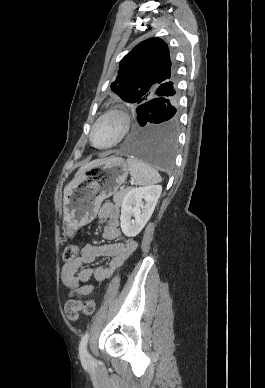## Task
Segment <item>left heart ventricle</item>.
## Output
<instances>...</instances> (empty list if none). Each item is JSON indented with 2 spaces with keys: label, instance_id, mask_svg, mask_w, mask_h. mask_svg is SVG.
I'll return each mask as SVG.
<instances>
[{
  "label": "left heart ventricle",
  "instance_id": "b2bd125f",
  "mask_svg": "<svg viewBox=\"0 0 265 388\" xmlns=\"http://www.w3.org/2000/svg\"><path fill=\"white\" fill-rule=\"evenodd\" d=\"M118 119L110 116L103 120L95 129L93 134V141L97 145H104L111 143L117 133Z\"/></svg>",
  "mask_w": 265,
  "mask_h": 388
}]
</instances>
